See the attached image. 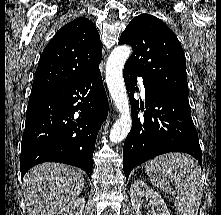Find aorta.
Listing matches in <instances>:
<instances>
[{
    "label": "aorta",
    "mask_w": 221,
    "mask_h": 215,
    "mask_svg": "<svg viewBox=\"0 0 221 215\" xmlns=\"http://www.w3.org/2000/svg\"><path fill=\"white\" fill-rule=\"evenodd\" d=\"M131 52L130 46L119 45L112 50L106 64V83L120 113V117L110 131L109 139L112 143L121 142L131 129V111L123 79V67Z\"/></svg>",
    "instance_id": "aorta-1"
}]
</instances>
